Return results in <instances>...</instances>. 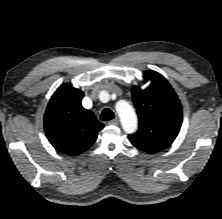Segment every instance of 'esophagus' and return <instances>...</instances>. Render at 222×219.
I'll list each match as a JSON object with an SVG mask.
<instances>
[{
	"instance_id": "34e87169",
	"label": "esophagus",
	"mask_w": 222,
	"mask_h": 219,
	"mask_svg": "<svg viewBox=\"0 0 222 219\" xmlns=\"http://www.w3.org/2000/svg\"><path fill=\"white\" fill-rule=\"evenodd\" d=\"M108 124H109V125H118V119L115 118V119L109 121Z\"/></svg>"
}]
</instances>
